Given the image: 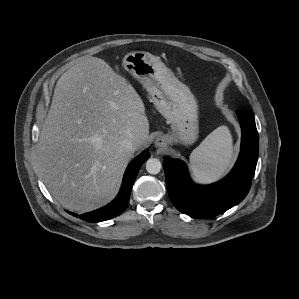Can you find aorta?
<instances>
[{
    "label": "aorta",
    "mask_w": 299,
    "mask_h": 299,
    "mask_svg": "<svg viewBox=\"0 0 299 299\" xmlns=\"http://www.w3.org/2000/svg\"><path fill=\"white\" fill-rule=\"evenodd\" d=\"M162 168V164L157 158H149L146 161V170L150 174H158Z\"/></svg>",
    "instance_id": "aorta-1"
}]
</instances>
